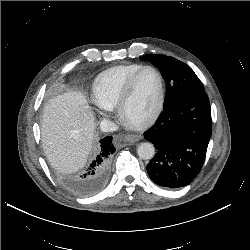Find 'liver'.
Masks as SVG:
<instances>
[{"mask_svg":"<svg viewBox=\"0 0 250 250\" xmlns=\"http://www.w3.org/2000/svg\"><path fill=\"white\" fill-rule=\"evenodd\" d=\"M94 116L85 95L68 91L44 107L41 140L51 166L61 173L82 168L94 141Z\"/></svg>","mask_w":250,"mask_h":250,"instance_id":"1","label":"liver"}]
</instances>
